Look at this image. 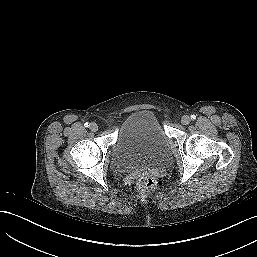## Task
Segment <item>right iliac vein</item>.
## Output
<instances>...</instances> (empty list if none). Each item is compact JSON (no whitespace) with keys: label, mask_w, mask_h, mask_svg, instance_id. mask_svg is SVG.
Listing matches in <instances>:
<instances>
[{"label":"right iliac vein","mask_w":257,"mask_h":257,"mask_svg":"<svg viewBox=\"0 0 257 257\" xmlns=\"http://www.w3.org/2000/svg\"><path fill=\"white\" fill-rule=\"evenodd\" d=\"M90 129L91 131L96 132L98 130V125L93 122L90 124Z\"/></svg>","instance_id":"obj_1"}]
</instances>
